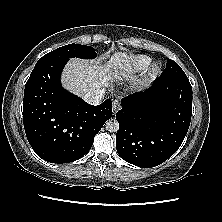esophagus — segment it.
<instances>
[{"instance_id":"obj_1","label":"esophagus","mask_w":222,"mask_h":222,"mask_svg":"<svg viewBox=\"0 0 222 222\" xmlns=\"http://www.w3.org/2000/svg\"><path fill=\"white\" fill-rule=\"evenodd\" d=\"M121 108V105H120V101L115 99L113 102H112V110H113V113L116 114L118 110H120Z\"/></svg>"}]
</instances>
